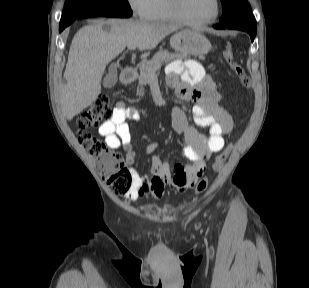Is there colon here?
<instances>
[{
	"mask_svg": "<svg viewBox=\"0 0 309 288\" xmlns=\"http://www.w3.org/2000/svg\"><path fill=\"white\" fill-rule=\"evenodd\" d=\"M223 56L241 85L246 90H250L252 86L251 78L243 64L236 59L232 46L227 45L225 47ZM112 113L113 110L108 96L99 95L77 118L78 139L80 144L94 158L97 169L107 185L117 193H124L131 188L132 175L126 167L123 156L111 150L99 138L85 131L110 118ZM231 150L232 146L229 145L216 156L211 165L213 171H218L223 167ZM207 186L208 177L201 178L196 187L197 193L204 192Z\"/></svg>",
	"mask_w": 309,
	"mask_h": 288,
	"instance_id": "colon-1",
	"label": "colon"
}]
</instances>
